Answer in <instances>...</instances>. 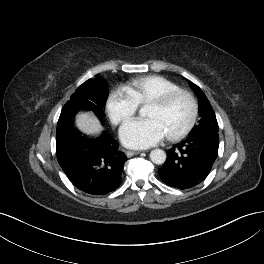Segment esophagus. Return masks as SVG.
I'll return each instance as SVG.
<instances>
[{
    "instance_id": "obj_1",
    "label": "esophagus",
    "mask_w": 264,
    "mask_h": 264,
    "mask_svg": "<svg viewBox=\"0 0 264 264\" xmlns=\"http://www.w3.org/2000/svg\"><path fill=\"white\" fill-rule=\"evenodd\" d=\"M125 153H126L127 157H131L133 155L140 154L141 151H126Z\"/></svg>"
}]
</instances>
